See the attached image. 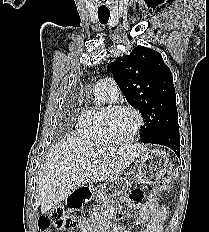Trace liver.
<instances>
[{"instance_id": "1", "label": "liver", "mask_w": 209, "mask_h": 232, "mask_svg": "<svg viewBox=\"0 0 209 232\" xmlns=\"http://www.w3.org/2000/svg\"><path fill=\"white\" fill-rule=\"evenodd\" d=\"M146 150L140 144H109L68 136L55 145L40 168L37 184L41 212L53 209L90 180H115ZM95 160L96 166L92 164Z\"/></svg>"}]
</instances>
